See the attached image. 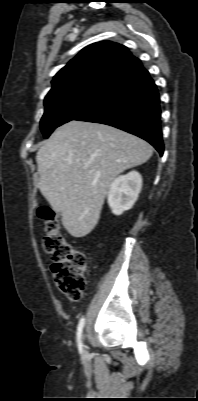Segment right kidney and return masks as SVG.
<instances>
[{
	"label": "right kidney",
	"mask_w": 198,
	"mask_h": 401,
	"mask_svg": "<svg viewBox=\"0 0 198 401\" xmlns=\"http://www.w3.org/2000/svg\"><path fill=\"white\" fill-rule=\"evenodd\" d=\"M142 188V177L137 171L117 177L110 185L108 205L114 215L132 208Z\"/></svg>",
	"instance_id": "1"
}]
</instances>
